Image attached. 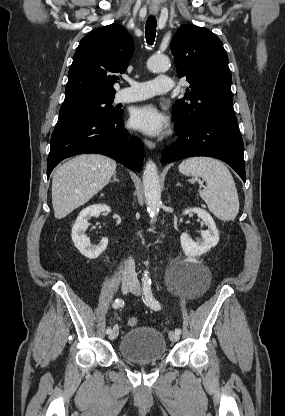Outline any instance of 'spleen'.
Instances as JSON below:
<instances>
[{
    "label": "spleen",
    "instance_id": "spleen-1",
    "mask_svg": "<svg viewBox=\"0 0 285 416\" xmlns=\"http://www.w3.org/2000/svg\"><path fill=\"white\" fill-rule=\"evenodd\" d=\"M178 170L184 176L203 178L206 188L201 198L218 220H235L239 212V198L235 182L222 162L213 158H187Z\"/></svg>",
    "mask_w": 285,
    "mask_h": 416
}]
</instances>
